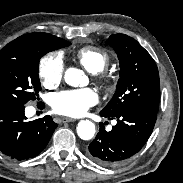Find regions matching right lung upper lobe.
I'll use <instances>...</instances> for the list:
<instances>
[{"instance_id":"cb5924a9","label":"right lung upper lobe","mask_w":183,"mask_h":183,"mask_svg":"<svg viewBox=\"0 0 183 183\" xmlns=\"http://www.w3.org/2000/svg\"><path fill=\"white\" fill-rule=\"evenodd\" d=\"M65 42V40L54 35L42 32H35L18 37L17 39L7 44L0 52L32 44H41L48 47L49 49H52L51 51H53L63 48L62 46Z\"/></svg>"}]
</instances>
